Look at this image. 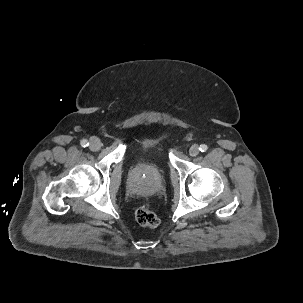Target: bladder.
Listing matches in <instances>:
<instances>
[{"mask_svg":"<svg viewBox=\"0 0 303 303\" xmlns=\"http://www.w3.org/2000/svg\"><path fill=\"white\" fill-rule=\"evenodd\" d=\"M167 137L161 133L148 134L142 137L140 145L144 151L163 153Z\"/></svg>","mask_w":303,"mask_h":303,"instance_id":"31cf9c89","label":"bladder"}]
</instances>
